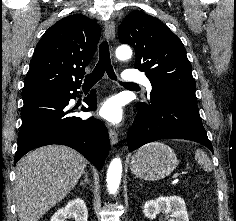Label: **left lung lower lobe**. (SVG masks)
Masks as SVG:
<instances>
[{
  "label": "left lung lower lobe",
  "instance_id": "0a47b994",
  "mask_svg": "<svg viewBox=\"0 0 236 221\" xmlns=\"http://www.w3.org/2000/svg\"><path fill=\"white\" fill-rule=\"evenodd\" d=\"M170 138L192 140L213 152L195 93L170 89L152 91L147 103H139L136 124L128 136L129 152L146 143Z\"/></svg>",
  "mask_w": 236,
  "mask_h": 221
}]
</instances>
